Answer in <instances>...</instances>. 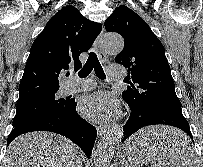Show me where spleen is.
I'll return each instance as SVG.
<instances>
[{
	"mask_svg": "<svg viewBox=\"0 0 203 167\" xmlns=\"http://www.w3.org/2000/svg\"><path fill=\"white\" fill-rule=\"evenodd\" d=\"M184 141L189 143L187 138H182L180 136L177 138L176 145L183 143ZM141 142H143V140L137 144ZM164 143L169 144L167 140V142L163 141V143H160L156 148L151 147L134 150L132 161L133 167H140V165L149 161L152 162L151 167H196L195 164L197 158L191 148H188L187 150L176 148V153L172 157L168 158L164 152Z\"/></svg>",
	"mask_w": 203,
	"mask_h": 167,
	"instance_id": "1",
	"label": "spleen"
}]
</instances>
